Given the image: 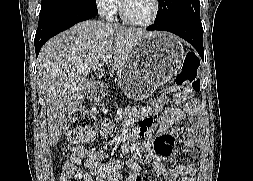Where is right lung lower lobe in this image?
I'll use <instances>...</instances> for the list:
<instances>
[{
	"mask_svg": "<svg viewBox=\"0 0 253 181\" xmlns=\"http://www.w3.org/2000/svg\"><path fill=\"white\" fill-rule=\"evenodd\" d=\"M97 13L98 12L84 9H70L50 17L40 19L34 40L36 57L38 56L41 47L48 39L70 28L78 22L90 19Z\"/></svg>",
	"mask_w": 253,
	"mask_h": 181,
	"instance_id": "1",
	"label": "right lung lower lobe"
}]
</instances>
